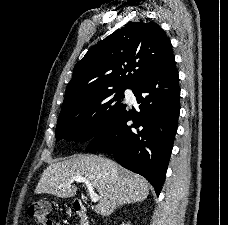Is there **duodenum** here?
Instances as JSON below:
<instances>
[{
	"label": "duodenum",
	"mask_w": 228,
	"mask_h": 225,
	"mask_svg": "<svg viewBox=\"0 0 228 225\" xmlns=\"http://www.w3.org/2000/svg\"><path fill=\"white\" fill-rule=\"evenodd\" d=\"M72 208L78 216V225H90L87 208L80 199H75Z\"/></svg>",
	"instance_id": "1"
}]
</instances>
